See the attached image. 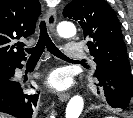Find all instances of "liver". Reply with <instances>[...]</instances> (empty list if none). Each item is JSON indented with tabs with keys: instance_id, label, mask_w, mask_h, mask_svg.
<instances>
[{
	"instance_id": "6515ba94",
	"label": "liver",
	"mask_w": 133,
	"mask_h": 118,
	"mask_svg": "<svg viewBox=\"0 0 133 118\" xmlns=\"http://www.w3.org/2000/svg\"><path fill=\"white\" fill-rule=\"evenodd\" d=\"M0 118H10V117L8 115H6V114L0 113Z\"/></svg>"
}]
</instances>
